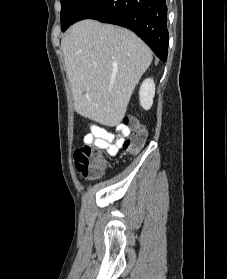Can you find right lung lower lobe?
Here are the masks:
<instances>
[{"instance_id":"right-lung-lower-lobe-1","label":"right lung lower lobe","mask_w":227,"mask_h":279,"mask_svg":"<svg viewBox=\"0 0 227 279\" xmlns=\"http://www.w3.org/2000/svg\"><path fill=\"white\" fill-rule=\"evenodd\" d=\"M95 19L134 31L162 61L167 60L166 0H84L73 23ZM72 23V24H73Z\"/></svg>"}]
</instances>
